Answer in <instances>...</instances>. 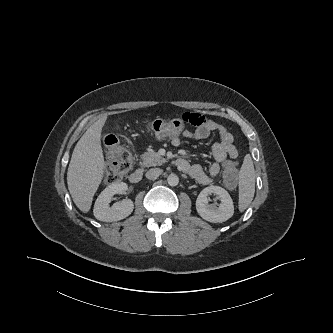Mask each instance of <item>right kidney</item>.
<instances>
[{"instance_id":"1","label":"right kidney","mask_w":333,"mask_h":333,"mask_svg":"<svg viewBox=\"0 0 333 333\" xmlns=\"http://www.w3.org/2000/svg\"><path fill=\"white\" fill-rule=\"evenodd\" d=\"M127 188V184L123 182L112 183L106 187L96 199L93 210L95 218L104 222H113L128 217L134 209V204L131 200H123L112 206L109 205L115 194H121Z\"/></svg>"}]
</instances>
